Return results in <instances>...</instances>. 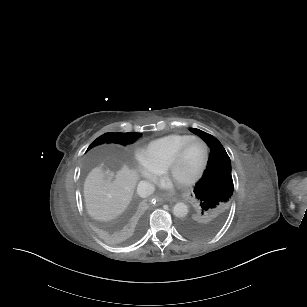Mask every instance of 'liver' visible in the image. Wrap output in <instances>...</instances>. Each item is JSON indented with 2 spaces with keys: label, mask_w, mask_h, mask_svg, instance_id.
Here are the masks:
<instances>
[{
  "label": "liver",
  "mask_w": 307,
  "mask_h": 307,
  "mask_svg": "<svg viewBox=\"0 0 307 307\" xmlns=\"http://www.w3.org/2000/svg\"><path fill=\"white\" fill-rule=\"evenodd\" d=\"M137 173V163L131 157H104L98 160L84 184L88 213L103 221L121 214L131 200Z\"/></svg>",
  "instance_id": "liver-1"
}]
</instances>
